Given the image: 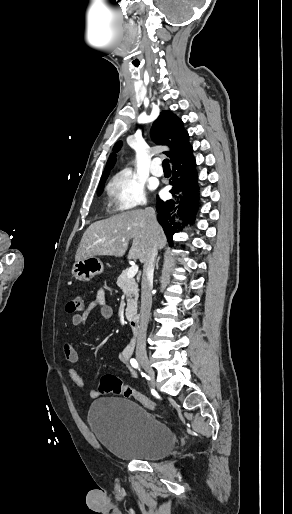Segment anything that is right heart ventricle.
I'll return each mask as SVG.
<instances>
[{"label":"right heart ventricle","instance_id":"obj_1","mask_svg":"<svg viewBox=\"0 0 292 514\" xmlns=\"http://www.w3.org/2000/svg\"><path fill=\"white\" fill-rule=\"evenodd\" d=\"M107 207H108V211L111 212L112 211L111 203H108Z\"/></svg>","mask_w":292,"mask_h":514}]
</instances>
